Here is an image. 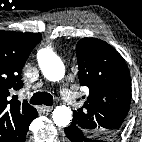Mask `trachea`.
I'll return each instance as SVG.
<instances>
[{
    "mask_svg": "<svg viewBox=\"0 0 142 142\" xmlns=\"http://www.w3.org/2000/svg\"><path fill=\"white\" fill-rule=\"evenodd\" d=\"M30 103L33 105L44 104L46 106L53 105V97L47 92H36L30 99Z\"/></svg>",
    "mask_w": 142,
    "mask_h": 142,
    "instance_id": "3493384b",
    "label": "trachea"
}]
</instances>
